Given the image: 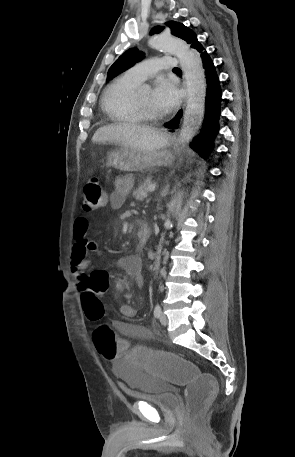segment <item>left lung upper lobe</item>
<instances>
[{
	"instance_id": "left-lung-upper-lobe-1",
	"label": "left lung upper lobe",
	"mask_w": 295,
	"mask_h": 457,
	"mask_svg": "<svg viewBox=\"0 0 295 457\" xmlns=\"http://www.w3.org/2000/svg\"><path fill=\"white\" fill-rule=\"evenodd\" d=\"M166 25L171 29V33L174 36H177L188 44H192L195 40H197L196 34L188 27L183 25L182 23L170 21L167 22ZM164 29L163 26H156L154 27L150 34H157L160 33ZM144 57V53L138 51L137 48H132L127 50L123 53L109 68L107 73V80H110L120 73L124 72L128 68L132 67L135 63L139 62Z\"/></svg>"
}]
</instances>
